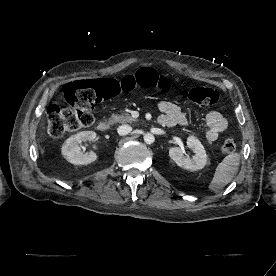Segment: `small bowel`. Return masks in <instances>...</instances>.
Here are the masks:
<instances>
[{
	"label": "small bowel",
	"instance_id": "c3829d8e",
	"mask_svg": "<svg viewBox=\"0 0 276 276\" xmlns=\"http://www.w3.org/2000/svg\"><path fill=\"white\" fill-rule=\"evenodd\" d=\"M159 109L163 113L158 120L161 125L172 127L188 123L186 114L175 103L163 101L159 104ZM205 121L208 126L206 139L210 142L217 140L227 128L226 118L218 111L213 110L206 113Z\"/></svg>",
	"mask_w": 276,
	"mask_h": 276
}]
</instances>
